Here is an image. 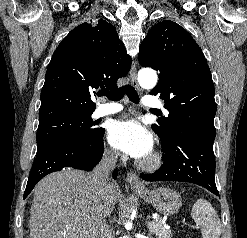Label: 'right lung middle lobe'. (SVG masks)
Returning <instances> with one entry per match:
<instances>
[{"mask_svg":"<svg viewBox=\"0 0 247 238\" xmlns=\"http://www.w3.org/2000/svg\"><path fill=\"white\" fill-rule=\"evenodd\" d=\"M91 113L63 115L40 121L37 130V152L45 147L63 141L89 142L101 131Z\"/></svg>","mask_w":247,"mask_h":238,"instance_id":"right-lung-middle-lobe-1","label":"right lung middle lobe"}]
</instances>
